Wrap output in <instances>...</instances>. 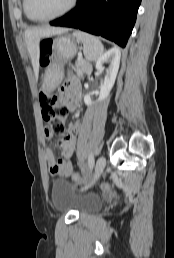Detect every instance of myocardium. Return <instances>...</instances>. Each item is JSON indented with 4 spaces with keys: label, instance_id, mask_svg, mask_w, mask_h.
<instances>
[{
    "label": "myocardium",
    "instance_id": "obj_1",
    "mask_svg": "<svg viewBox=\"0 0 174 258\" xmlns=\"http://www.w3.org/2000/svg\"><path fill=\"white\" fill-rule=\"evenodd\" d=\"M77 3V0H70L68 6L63 9L62 11H60L59 13L55 14V15H52V16H49V17H45V18H37V17H34L31 13H30V10H29V0H24V10H25V13L26 15L34 20V21H37V22H48V21H52V20H55L57 18H60L66 14H68L76 5Z\"/></svg>",
    "mask_w": 174,
    "mask_h": 258
}]
</instances>
